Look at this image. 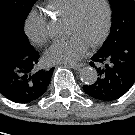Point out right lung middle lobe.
<instances>
[{
  "label": "right lung middle lobe",
  "instance_id": "obj_1",
  "mask_svg": "<svg viewBox=\"0 0 135 135\" xmlns=\"http://www.w3.org/2000/svg\"><path fill=\"white\" fill-rule=\"evenodd\" d=\"M37 0H0V28L14 31L28 41L24 34L25 20Z\"/></svg>",
  "mask_w": 135,
  "mask_h": 135
}]
</instances>
